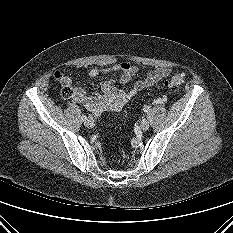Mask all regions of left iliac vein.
Wrapping results in <instances>:
<instances>
[{"mask_svg":"<svg viewBox=\"0 0 233 233\" xmlns=\"http://www.w3.org/2000/svg\"><path fill=\"white\" fill-rule=\"evenodd\" d=\"M140 128L143 131L148 130L149 129V122L146 119L142 120L141 123H140Z\"/></svg>","mask_w":233,"mask_h":233,"instance_id":"left-iliac-vein-1","label":"left iliac vein"}]
</instances>
